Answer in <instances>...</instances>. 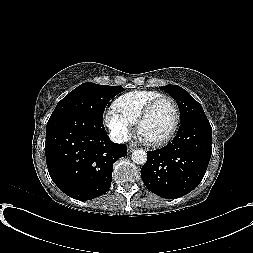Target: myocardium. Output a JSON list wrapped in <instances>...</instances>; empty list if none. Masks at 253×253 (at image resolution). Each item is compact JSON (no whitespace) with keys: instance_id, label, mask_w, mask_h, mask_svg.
<instances>
[{"instance_id":"1","label":"myocardium","mask_w":253,"mask_h":253,"mask_svg":"<svg viewBox=\"0 0 253 253\" xmlns=\"http://www.w3.org/2000/svg\"><path fill=\"white\" fill-rule=\"evenodd\" d=\"M163 101H169L172 103L174 110H175V121L173 124L172 129L170 130V132L162 139L157 140V141H149L144 139L141 136V127L143 125V123L145 122V120L150 116V114L152 113V111L154 110V108L161 102ZM180 121H181V112H180V108L179 105L177 103V101L172 98L171 96H161L158 97L154 100H152L149 104L146 105V107L142 110V112L140 113L137 121H136V135L138 136V138L140 140H142L146 145L151 146V147H162L167 145L176 135L178 129H179V125H180Z\"/></svg>"}]
</instances>
